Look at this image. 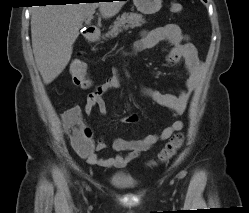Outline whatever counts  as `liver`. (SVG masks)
I'll list each match as a JSON object with an SVG mask.
<instances>
[{
    "instance_id": "liver-1",
    "label": "liver",
    "mask_w": 249,
    "mask_h": 213,
    "mask_svg": "<svg viewBox=\"0 0 249 213\" xmlns=\"http://www.w3.org/2000/svg\"><path fill=\"white\" fill-rule=\"evenodd\" d=\"M123 1L34 6L31 36L34 58L45 84L56 79L69 63L73 44L83 22L99 11L105 18L116 15Z\"/></svg>"
}]
</instances>
